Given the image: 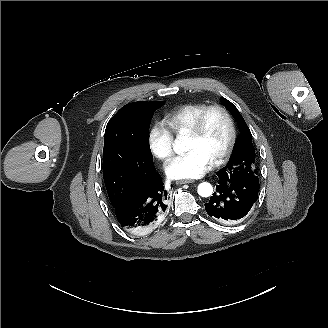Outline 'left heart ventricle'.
<instances>
[{
    "mask_svg": "<svg viewBox=\"0 0 328 328\" xmlns=\"http://www.w3.org/2000/svg\"><path fill=\"white\" fill-rule=\"evenodd\" d=\"M229 138L230 127L226 118L220 113H212L197 137L187 134L186 149L203 152L213 163L225 151Z\"/></svg>",
    "mask_w": 328,
    "mask_h": 328,
    "instance_id": "b2bd125f",
    "label": "left heart ventricle"
}]
</instances>
